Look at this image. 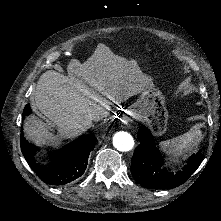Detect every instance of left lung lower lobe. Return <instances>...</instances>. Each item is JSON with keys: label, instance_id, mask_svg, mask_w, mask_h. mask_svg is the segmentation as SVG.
I'll use <instances>...</instances> for the list:
<instances>
[{"label": "left lung lower lobe", "instance_id": "0a47b994", "mask_svg": "<svg viewBox=\"0 0 221 221\" xmlns=\"http://www.w3.org/2000/svg\"><path fill=\"white\" fill-rule=\"evenodd\" d=\"M137 137L140 144L134 151L130 169L135 180L145 188H175L183 184L201 163V153L198 152L189 158L181 171L169 172L162 168L164 158L144 125L140 126Z\"/></svg>", "mask_w": 221, "mask_h": 221}]
</instances>
